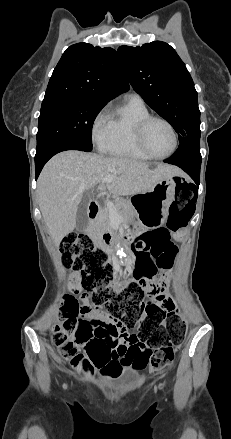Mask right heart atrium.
Segmentation results:
<instances>
[{
    "label": "right heart atrium",
    "mask_w": 231,
    "mask_h": 439,
    "mask_svg": "<svg viewBox=\"0 0 231 439\" xmlns=\"http://www.w3.org/2000/svg\"><path fill=\"white\" fill-rule=\"evenodd\" d=\"M108 121L109 117L106 108H102L92 121L91 137L93 142L99 147L107 138Z\"/></svg>",
    "instance_id": "1"
}]
</instances>
